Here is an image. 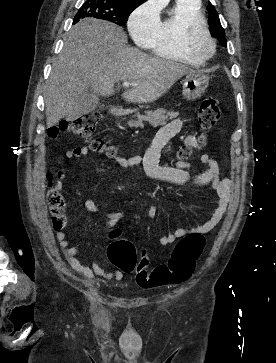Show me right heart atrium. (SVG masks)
<instances>
[{
    "label": "right heart atrium",
    "mask_w": 276,
    "mask_h": 363,
    "mask_svg": "<svg viewBox=\"0 0 276 363\" xmlns=\"http://www.w3.org/2000/svg\"><path fill=\"white\" fill-rule=\"evenodd\" d=\"M160 24V7L155 0L141 3L129 16L128 29L133 40L147 45L156 34Z\"/></svg>",
    "instance_id": "d8ad5b80"
}]
</instances>
